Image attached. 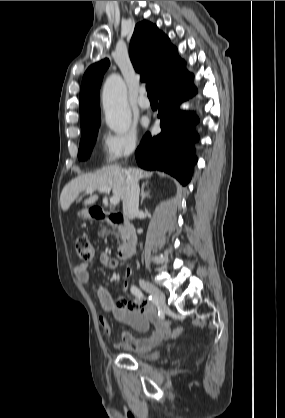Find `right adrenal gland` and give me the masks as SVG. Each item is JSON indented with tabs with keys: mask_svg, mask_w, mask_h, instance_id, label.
I'll return each instance as SVG.
<instances>
[{
	"mask_svg": "<svg viewBox=\"0 0 285 418\" xmlns=\"http://www.w3.org/2000/svg\"><path fill=\"white\" fill-rule=\"evenodd\" d=\"M147 186V184L143 183L141 186V202L140 204H143V200L145 199V197H148L150 194V191H145V187Z\"/></svg>",
	"mask_w": 285,
	"mask_h": 418,
	"instance_id": "1",
	"label": "right adrenal gland"
}]
</instances>
